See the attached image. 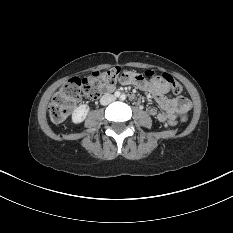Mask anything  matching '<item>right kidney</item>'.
<instances>
[{
	"instance_id": "ca27d5eb",
	"label": "right kidney",
	"mask_w": 233,
	"mask_h": 233,
	"mask_svg": "<svg viewBox=\"0 0 233 233\" xmlns=\"http://www.w3.org/2000/svg\"><path fill=\"white\" fill-rule=\"evenodd\" d=\"M89 112V106L86 104H82L79 107L75 108L72 113V122L75 124H79L83 122Z\"/></svg>"
}]
</instances>
